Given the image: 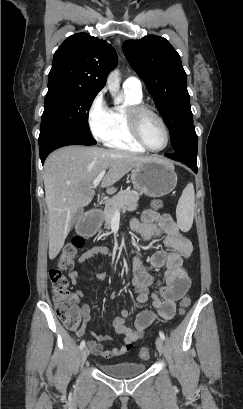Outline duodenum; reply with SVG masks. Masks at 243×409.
Segmentation results:
<instances>
[{
	"instance_id": "1",
	"label": "duodenum",
	"mask_w": 243,
	"mask_h": 409,
	"mask_svg": "<svg viewBox=\"0 0 243 409\" xmlns=\"http://www.w3.org/2000/svg\"><path fill=\"white\" fill-rule=\"evenodd\" d=\"M94 212H97V209H93Z\"/></svg>"
}]
</instances>
